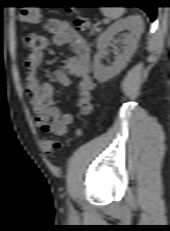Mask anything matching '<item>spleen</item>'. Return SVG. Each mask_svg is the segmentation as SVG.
<instances>
[{
    "mask_svg": "<svg viewBox=\"0 0 170 231\" xmlns=\"http://www.w3.org/2000/svg\"><path fill=\"white\" fill-rule=\"evenodd\" d=\"M101 11L103 15L106 17H110L112 19H118L124 14L125 9L122 7H103L101 8Z\"/></svg>",
    "mask_w": 170,
    "mask_h": 231,
    "instance_id": "obj_1",
    "label": "spleen"
}]
</instances>
